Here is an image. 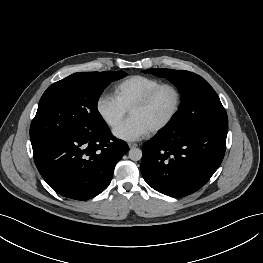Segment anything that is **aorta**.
Wrapping results in <instances>:
<instances>
[{
  "mask_svg": "<svg viewBox=\"0 0 263 263\" xmlns=\"http://www.w3.org/2000/svg\"><path fill=\"white\" fill-rule=\"evenodd\" d=\"M129 158L133 161H139L142 158V151L139 148L130 149Z\"/></svg>",
  "mask_w": 263,
  "mask_h": 263,
  "instance_id": "762f6f07",
  "label": "aorta"
}]
</instances>
